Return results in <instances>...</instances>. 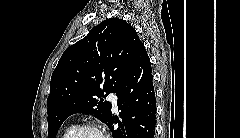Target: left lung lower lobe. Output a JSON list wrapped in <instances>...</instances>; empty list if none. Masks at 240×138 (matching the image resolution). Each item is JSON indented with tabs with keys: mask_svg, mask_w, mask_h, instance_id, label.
Segmentation results:
<instances>
[{
	"mask_svg": "<svg viewBox=\"0 0 240 138\" xmlns=\"http://www.w3.org/2000/svg\"><path fill=\"white\" fill-rule=\"evenodd\" d=\"M116 95L122 122L115 120L120 126L117 130L113 128L112 115L106 123L113 138H153L156 99L150 59L144 45L139 48L137 57Z\"/></svg>",
	"mask_w": 240,
	"mask_h": 138,
	"instance_id": "obj_1",
	"label": "left lung lower lobe"
}]
</instances>
